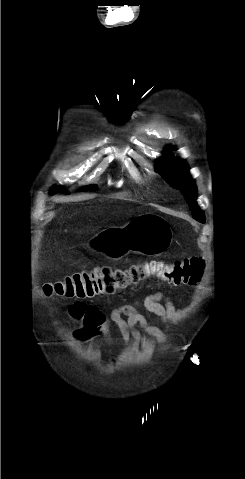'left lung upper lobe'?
<instances>
[{"mask_svg": "<svg viewBox=\"0 0 245 479\" xmlns=\"http://www.w3.org/2000/svg\"><path fill=\"white\" fill-rule=\"evenodd\" d=\"M171 150L169 148L165 155L157 160L156 172L165 178L172 187L180 189L189 204L193 218L204 223V214L196 205V187L189 175V169L184 161L171 156Z\"/></svg>", "mask_w": 245, "mask_h": 479, "instance_id": "1", "label": "left lung upper lobe"}]
</instances>
